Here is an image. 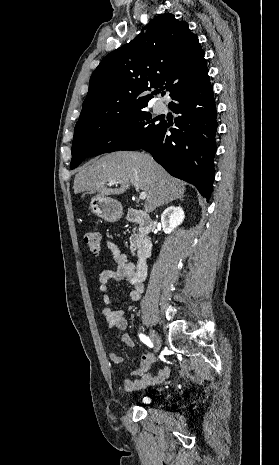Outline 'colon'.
<instances>
[{"instance_id": "obj_1", "label": "colon", "mask_w": 279, "mask_h": 465, "mask_svg": "<svg viewBox=\"0 0 279 465\" xmlns=\"http://www.w3.org/2000/svg\"><path fill=\"white\" fill-rule=\"evenodd\" d=\"M84 242L92 254H99L101 250V236L98 232H88L84 237Z\"/></svg>"}]
</instances>
